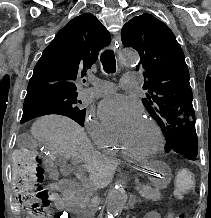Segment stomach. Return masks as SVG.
Instances as JSON below:
<instances>
[{
	"mask_svg": "<svg viewBox=\"0 0 211 218\" xmlns=\"http://www.w3.org/2000/svg\"><path fill=\"white\" fill-rule=\"evenodd\" d=\"M146 173L157 190L166 188L171 181V169L161 161L151 163L147 167Z\"/></svg>",
	"mask_w": 211,
	"mask_h": 218,
	"instance_id": "stomach-1",
	"label": "stomach"
}]
</instances>
